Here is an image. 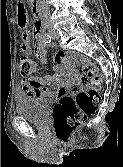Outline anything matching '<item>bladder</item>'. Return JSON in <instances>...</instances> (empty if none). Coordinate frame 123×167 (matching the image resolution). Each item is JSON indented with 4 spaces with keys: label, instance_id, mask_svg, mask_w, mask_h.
Here are the masks:
<instances>
[{
    "label": "bladder",
    "instance_id": "1",
    "mask_svg": "<svg viewBox=\"0 0 123 167\" xmlns=\"http://www.w3.org/2000/svg\"><path fill=\"white\" fill-rule=\"evenodd\" d=\"M16 112L31 123L44 125L52 109V101L43 97L18 96Z\"/></svg>",
    "mask_w": 123,
    "mask_h": 167
}]
</instances>
